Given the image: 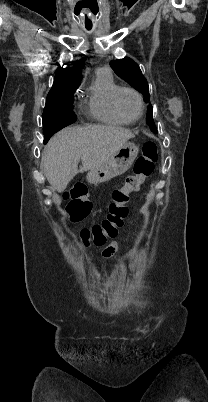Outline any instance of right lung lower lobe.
<instances>
[{"label":"right lung lower lobe","mask_w":208,"mask_h":402,"mask_svg":"<svg viewBox=\"0 0 208 402\" xmlns=\"http://www.w3.org/2000/svg\"><path fill=\"white\" fill-rule=\"evenodd\" d=\"M65 126H67V124L62 123L61 121L44 122L43 130L46 141L48 142V140L54 133H56Z\"/></svg>","instance_id":"1"}]
</instances>
